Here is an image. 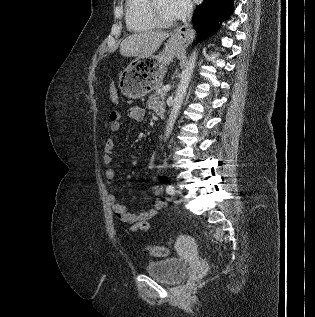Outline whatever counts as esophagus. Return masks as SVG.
Listing matches in <instances>:
<instances>
[{
    "instance_id": "obj_1",
    "label": "esophagus",
    "mask_w": 315,
    "mask_h": 317,
    "mask_svg": "<svg viewBox=\"0 0 315 317\" xmlns=\"http://www.w3.org/2000/svg\"><path fill=\"white\" fill-rule=\"evenodd\" d=\"M194 32L190 25H184L176 29L172 37L180 41L184 46H187L193 40Z\"/></svg>"
}]
</instances>
